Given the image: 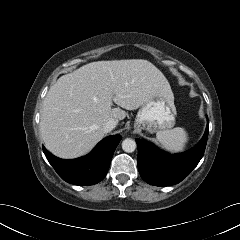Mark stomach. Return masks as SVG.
<instances>
[{"instance_id": "1", "label": "stomach", "mask_w": 240, "mask_h": 240, "mask_svg": "<svg viewBox=\"0 0 240 240\" xmlns=\"http://www.w3.org/2000/svg\"><path fill=\"white\" fill-rule=\"evenodd\" d=\"M175 118L174 98L159 93L141 106L136 115L134 127L151 133L169 130L174 127Z\"/></svg>"}]
</instances>
